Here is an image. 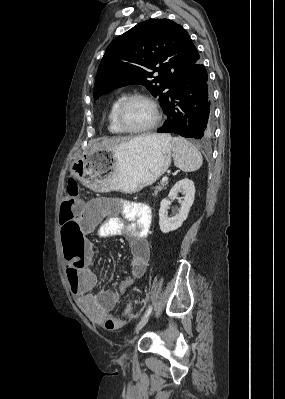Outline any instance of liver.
I'll list each match as a JSON object with an SVG mask.
<instances>
[{"instance_id":"liver-1","label":"liver","mask_w":285,"mask_h":399,"mask_svg":"<svg viewBox=\"0 0 285 399\" xmlns=\"http://www.w3.org/2000/svg\"><path fill=\"white\" fill-rule=\"evenodd\" d=\"M157 134L154 135H148V136H143V137H135V138H130V137H112V138H105L102 139L101 141L95 143L91 147V151L97 150V149H106V150H113L116 149L118 146L123 145L131 140L134 139H140V138H156Z\"/></svg>"}]
</instances>
